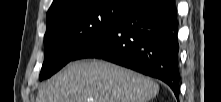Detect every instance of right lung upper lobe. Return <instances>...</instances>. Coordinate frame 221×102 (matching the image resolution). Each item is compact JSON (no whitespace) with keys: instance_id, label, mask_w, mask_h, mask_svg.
<instances>
[{"instance_id":"1","label":"right lung upper lobe","mask_w":221,"mask_h":102,"mask_svg":"<svg viewBox=\"0 0 221 102\" xmlns=\"http://www.w3.org/2000/svg\"><path fill=\"white\" fill-rule=\"evenodd\" d=\"M84 0H53L51 7L47 12V19L51 16L68 9ZM134 5L140 0H130Z\"/></svg>"}]
</instances>
